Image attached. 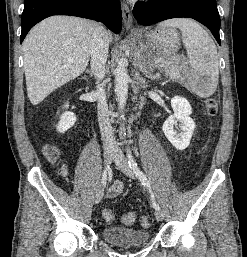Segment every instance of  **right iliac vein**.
Masks as SVG:
<instances>
[{"label":"right iliac vein","mask_w":247,"mask_h":257,"mask_svg":"<svg viewBox=\"0 0 247 257\" xmlns=\"http://www.w3.org/2000/svg\"><path fill=\"white\" fill-rule=\"evenodd\" d=\"M113 156H114V151L112 149H106L104 151L105 164L111 163ZM103 194H104V189L102 185H100L95 194V204H98L101 201Z\"/></svg>","instance_id":"obj_1"}]
</instances>
